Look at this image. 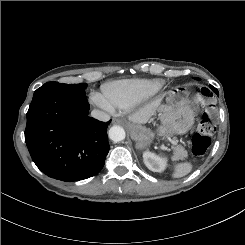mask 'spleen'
<instances>
[{"label": "spleen", "mask_w": 245, "mask_h": 245, "mask_svg": "<svg viewBox=\"0 0 245 245\" xmlns=\"http://www.w3.org/2000/svg\"><path fill=\"white\" fill-rule=\"evenodd\" d=\"M192 170V164L189 162L179 163L175 166L173 177L179 178L187 175Z\"/></svg>", "instance_id": "spleen-1"}]
</instances>
